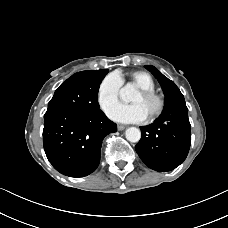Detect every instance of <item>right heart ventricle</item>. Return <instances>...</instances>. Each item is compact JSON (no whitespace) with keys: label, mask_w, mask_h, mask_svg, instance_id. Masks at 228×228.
Returning <instances> with one entry per match:
<instances>
[{"label":"right heart ventricle","mask_w":228,"mask_h":228,"mask_svg":"<svg viewBox=\"0 0 228 228\" xmlns=\"http://www.w3.org/2000/svg\"><path fill=\"white\" fill-rule=\"evenodd\" d=\"M119 76L121 77L120 74ZM127 79L130 83L134 84L139 89L155 90L156 85L153 78L151 77V75L144 71L131 72L128 75Z\"/></svg>","instance_id":"obj_1"}]
</instances>
